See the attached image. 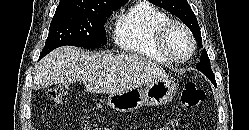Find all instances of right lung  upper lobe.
Segmentation results:
<instances>
[{
    "mask_svg": "<svg viewBox=\"0 0 249 130\" xmlns=\"http://www.w3.org/2000/svg\"><path fill=\"white\" fill-rule=\"evenodd\" d=\"M126 2H128V0H61L58 7H71L84 10H99L108 6Z\"/></svg>",
    "mask_w": 249,
    "mask_h": 130,
    "instance_id": "right-lung-upper-lobe-1",
    "label": "right lung upper lobe"
}]
</instances>
